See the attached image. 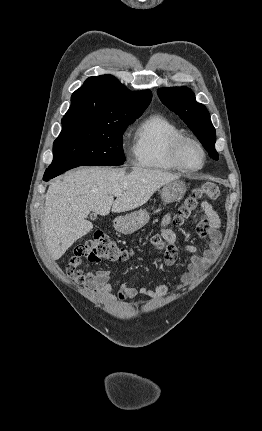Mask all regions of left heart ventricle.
Segmentation results:
<instances>
[{
  "label": "left heart ventricle",
  "instance_id": "left-heart-ventricle-1",
  "mask_svg": "<svg viewBox=\"0 0 262 431\" xmlns=\"http://www.w3.org/2000/svg\"><path fill=\"white\" fill-rule=\"evenodd\" d=\"M182 158L184 163L190 168L198 167L202 162L200 152L193 145H187L184 148Z\"/></svg>",
  "mask_w": 262,
  "mask_h": 431
}]
</instances>
